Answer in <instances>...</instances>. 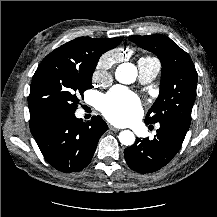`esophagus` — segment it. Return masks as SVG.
Segmentation results:
<instances>
[{
  "instance_id": "obj_1",
  "label": "esophagus",
  "mask_w": 217,
  "mask_h": 217,
  "mask_svg": "<svg viewBox=\"0 0 217 217\" xmlns=\"http://www.w3.org/2000/svg\"><path fill=\"white\" fill-rule=\"evenodd\" d=\"M109 129L111 130V131H114V132H117V131H119L120 129H118V128H116V127H114V126H109Z\"/></svg>"
}]
</instances>
